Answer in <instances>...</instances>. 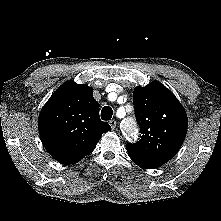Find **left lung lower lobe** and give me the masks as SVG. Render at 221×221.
Instances as JSON below:
<instances>
[{"instance_id": "0a47b994", "label": "left lung lower lobe", "mask_w": 221, "mask_h": 221, "mask_svg": "<svg viewBox=\"0 0 221 221\" xmlns=\"http://www.w3.org/2000/svg\"><path fill=\"white\" fill-rule=\"evenodd\" d=\"M139 167L141 168H145V169H152V168H156V167H153V166H150V165H147V164H143V163H137L135 162Z\"/></svg>"}]
</instances>
